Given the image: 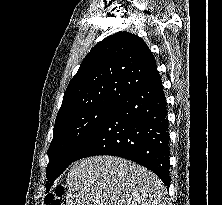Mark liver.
<instances>
[{
  "mask_svg": "<svg viewBox=\"0 0 222 205\" xmlns=\"http://www.w3.org/2000/svg\"><path fill=\"white\" fill-rule=\"evenodd\" d=\"M165 194L154 173L119 157L79 160L67 177V205H166Z\"/></svg>",
  "mask_w": 222,
  "mask_h": 205,
  "instance_id": "liver-1",
  "label": "liver"
}]
</instances>
